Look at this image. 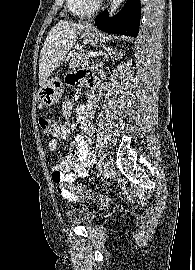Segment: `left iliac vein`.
I'll list each match as a JSON object with an SVG mask.
<instances>
[{
	"mask_svg": "<svg viewBox=\"0 0 195 270\" xmlns=\"http://www.w3.org/2000/svg\"><path fill=\"white\" fill-rule=\"evenodd\" d=\"M111 171H112V163L110 161H106L101 170L102 177L103 178L109 177Z\"/></svg>",
	"mask_w": 195,
	"mask_h": 270,
	"instance_id": "left-iliac-vein-1",
	"label": "left iliac vein"
}]
</instances>
